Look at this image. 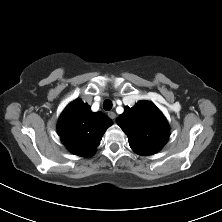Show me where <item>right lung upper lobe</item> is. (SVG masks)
Here are the masks:
<instances>
[{
  "label": "right lung upper lobe",
  "mask_w": 222,
  "mask_h": 222,
  "mask_svg": "<svg viewBox=\"0 0 222 222\" xmlns=\"http://www.w3.org/2000/svg\"><path fill=\"white\" fill-rule=\"evenodd\" d=\"M112 121L102 112L93 113L80 99L69 103L62 112L58 134L68 150L78 156H92Z\"/></svg>",
  "instance_id": "cb5924a9"
}]
</instances>
